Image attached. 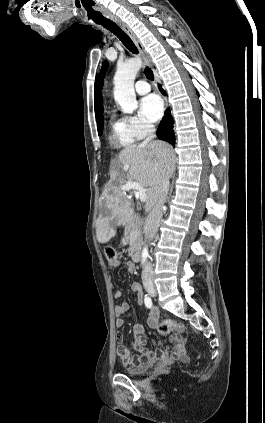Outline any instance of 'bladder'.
<instances>
[{"label":"bladder","mask_w":265,"mask_h":423,"mask_svg":"<svg viewBox=\"0 0 265 423\" xmlns=\"http://www.w3.org/2000/svg\"><path fill=\"white\" fill-rule=\"evenodd\" d=\"M152 365V362H145L144 364L137 367H127L124 369V373L129 376H136L144 373Z\"/></svg>","instance_id":"31cf9c89"}]
</instances>
